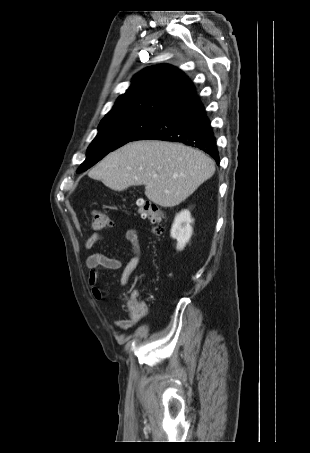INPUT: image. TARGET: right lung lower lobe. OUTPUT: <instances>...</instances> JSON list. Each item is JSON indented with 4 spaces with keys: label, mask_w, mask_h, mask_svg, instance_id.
Returning a JSON list of instances; mask_svg holds the SVG:
<instances>
[{
    "label": "right lung lower lobe",
    "mask_w": 310,
    "mask_h": 453,
    "mask_svg": "<svg viewBox=\"0 0 310 453\" xmlns=\"http://www.w3.org/2000/svg\"><path fill=\"white\" fill-rule=\"evenodd\" d=\"M181 142L211 155L219 164L216 139L196 91L172 104L136 140Z\"/></svg>",
    "instance_id": "98d812e1"
}]
</instances>
